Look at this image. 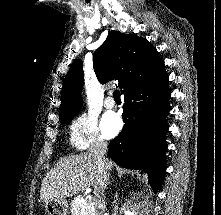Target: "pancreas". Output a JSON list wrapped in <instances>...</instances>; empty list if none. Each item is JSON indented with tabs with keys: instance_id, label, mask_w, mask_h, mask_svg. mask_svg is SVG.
I'll use <instances>...</instances> for the list:
<instances>
[{
	"instance_id": "pancreas-1",
	"label": "pancreas",
	"mask_w": 221,
	"mask_h": 215,
	"mask_svg": "<svg viewBox=\"0 0 221 215\" xmlns=\"http://www.w3.org/2000/svg\"><path fill=\"white\" fill-rule=\"evenodd\" d=\"M72 215H96L94 203L90 200L84 202L81 196L75 197L71 202Z\"/></svg>"
}]
</instances>
